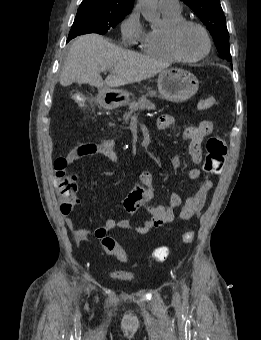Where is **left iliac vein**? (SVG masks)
I'll list each match as a JSON object with an SVG mask.
<instances>
[{
    "mask_svg": "<svg viewBox=\"0 0 261 340\" xmlns=\"http://www.w3.org/2000/svg\"><path fill=\"white\" fill-rule=\"evenodd\" d=\"M179 294L176 292V293H174V295H173V301L174 302H178L179 301Z\"/></svg>",
    "mask_w": 261,
    "mask_h": 340,
    "instance_id": "left-iliac-vein-1",
    "label": "left iliac vein"
}]
</instances>
